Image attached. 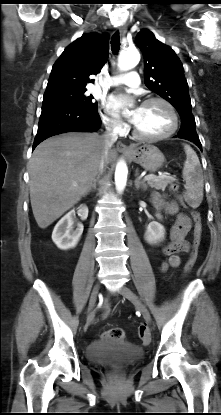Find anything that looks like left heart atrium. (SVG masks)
Returning a JSON list of instances; mask_svg holds the SVG:
<instances>
[{"label":"left heart atrium","instance_id":"left-heart-atrium-1","mask_svg":"<svg viewBox=\"0 0 221 415\" xmlns=\"http://www.w3.org/2000/svg\"><path fill=\"white\" fill-rule=\"evenodd\" d=\"M129 102V100H127L126 98H121V97H111L109 100V105L112 108L113 111L115 112H120V110L123 108V106L125 104H127ZM138 108H136L131 116V121L134 123L135 122V112Z\"/></svg>","mask_w":221,"mask_h":415}]
</instances>
